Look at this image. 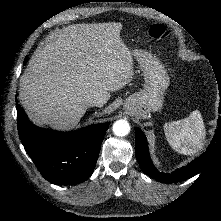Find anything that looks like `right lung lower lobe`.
<instances>
[{"label": "right lung lower lobe", "mask_w": 221, "mask_h": 221, "mask_svg": "<svg viewBox=\"0 0 221 221\" xmlns=\"http://www.w3.org/2000/svg\"><path fill=\"white\" fill-rule=\"evenodd\" d=\"M16 105L19 137L46 180L60 185H74L91 176L109 122L73 132H58L35 126L21 106Z\"/></svg>", "instance_id": "1"}]
</instances>
